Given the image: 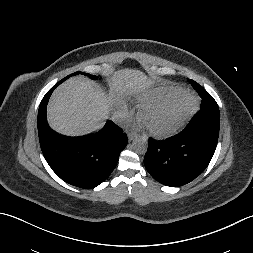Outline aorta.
<instances>
[{
	"label": "aorta",
	"instance_id": "1",
	"mask_svg": "<svg viewBox=\"0 0 253 253\" xmlns=\"http://www.w3.org/2000/svg\"><path fill=\"white\" fill-rule=\"evenodd\" d=\"M133 150L140 155H144L148 148V142L144 138H137L133 141Z\"/></svg>",
	"mask_w": 253,
	"mask_h": 253
}]
</instances>
